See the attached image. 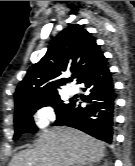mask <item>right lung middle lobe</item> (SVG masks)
I'll use <instances>...</instances> for the list:
<instances>
[{"mask_svg":"<svg viewBox=\"0 0 135 166\" xmlns=\"http://www.w3.org/2000/svg\"><path fill=\"white\" fill-rule=\"evenodd\" d=\"M71 102L72 101H70V103H64L60 99V96L56 94L43 101L16 109L14 116L15 134L13 139L16 140L23 133L37 131V127L33 121V114L41 107L52 106L55 109L56 115L58 117L68 109Z\"/></svg>","mask_w":135,"mask_h":166,"instance_id":"dd1d6c3e","label":"right lung middle lobe"}]
</instances>
